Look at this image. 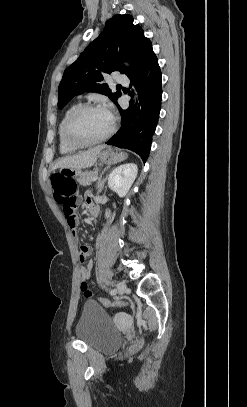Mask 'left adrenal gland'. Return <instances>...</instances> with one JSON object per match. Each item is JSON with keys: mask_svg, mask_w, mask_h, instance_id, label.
Returning a JSON list of instances; mask_svg holds the SVG:
<instances>
[{"mask_svg": "<svg viewBox=\"0 0 247 407\" xmlns=\"http://www.w3.org/2000/svg\"><path fill=\"white\" fill-rule=\"evenodd\" d=\"M104 173H102L101 175H100V177L98 178V181H97V189H98V193H100L101 191H102V189H103V187H104V184H105V181H106V179H107V177L106 178H102V175H103Z\"/></svg>", "mask_w": 247, "mask_h": 407, "instance_id": "1", "label": "left adrenal gland"}]
</instances>
